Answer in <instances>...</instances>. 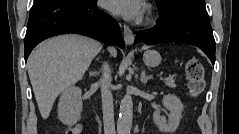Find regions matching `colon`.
I'll return each instance as SVG.
<instances>
[{
	"label": "colon",
	"mask_w": 239,
	"mask_h": 134,
	"mask_svg": "<svg viewBox=\"0 0 239 134\" xmlns=\"http://www.w3.org/2000/svg\"><path fill=\"white\" fill-rule=\"evenodd\" d=\"M185 71L188 79V90L192 97H198L205 89V70L202 63L191 58L185 64ZM80 128L74 127L69 129L66 134H79Z\"/></svg>",
	"instance_id": "obj_1"
}]
</instances>
